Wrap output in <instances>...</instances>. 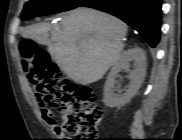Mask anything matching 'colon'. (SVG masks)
<instances>
[{
	"label": "colon",
	"instance_id": "obj_1",
	"mask_svg": "<svg viewBox=\"0 0 182 140\" xmlns=\"http://www.w3.org/2000/svg\"><path fill=\"white\" fill-rule=\"evenodd\" d=\"M19 51L37 99L61 112L63 130L76 140H96L103 112L94 89L71 81L35 42L22 40Z\"/></svg>",
	"mask_w": 182,
	"mask_h": 140
}]
</instances>
